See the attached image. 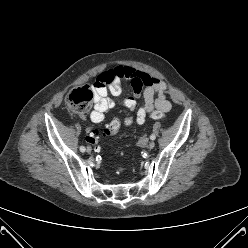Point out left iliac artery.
Here are the masks:
<instances>
[{
  "label": "left iliac artery",
  "mask_w": 248,
  "mask_h": 248,
  "mask_svg": "<svg viewBox=\"0 0 248 248\" xmlns=\"http://www.w3.org/2000/svg\"><path fill=\"white\" fill-rule=\"evenodd\" d=\"M156 136L154 134H151L150 139L155 140Z\"/></svg>",
  "instance_id": "1"
}]
</instances>
